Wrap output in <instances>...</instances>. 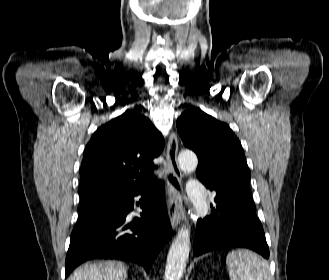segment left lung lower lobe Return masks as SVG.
<instances>
[{"instance_id": "left-lung-lower-lobe-1", "label": "left lung lower lobe", "mask_w": 329, "mask_h": 280, "mask_svg": "<svg viewBox=\"0 0 329 280\" xmlns=\"http://www.w3.org/2000/svg\"><path fill=\"white\" fill-rule=\"evenodd\" d=\"M209 216L197 221L193 252L245 247L269 257V248L249 190H238L224 198H215Z\"/></svg>"}]
</instances>
